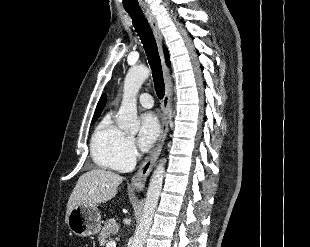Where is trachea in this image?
I'll list each match as a JSON object with an SVG mask.
<instances>
[{"mask_svg": "<svg viewBox=\"0 0 310 247\" xmlns=\"http://www.w3.org/2000/svg\"><path fill=\"white\" fill-rule=\"evenodd\" d=\"M132 18L133 26L138 33L143 47L145 49L149 65L152 70V76L155 86V91L159 99H162L165 94V84L161 67V60L158 53L157 44L153 32L140 10H126Z\"/></svg>", "mask_w": 310, "mask_h": 247, "instance_id": "3493384b", "label": "trachea"}]
</instances>
